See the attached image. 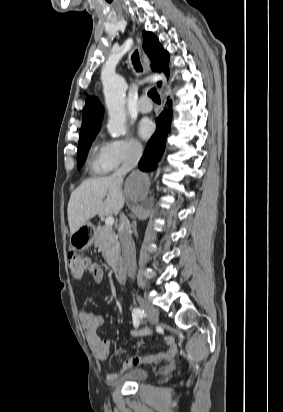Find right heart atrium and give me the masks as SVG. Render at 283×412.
Here are the masks:
<instances>
[{
  "mask_svg": "<svg viewBox=\"0 0 283 412\" xmlns=\"http://www.w3.org/2000/svg\"><path fill=\"white\" fill-rule=\"evenodd\" d=\"M104 149L105 159L112 169L135 161L143 151L142 144L134 137L111 139L106 142Z\"/></svg>",
  "mask_w": 283,
  "mask_h": 412,
  "instance_id": "obj_1",
  "label": "right heart atrium"
}]
</instances>
